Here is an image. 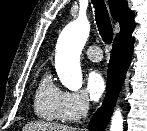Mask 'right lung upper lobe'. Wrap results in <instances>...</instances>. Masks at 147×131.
Listing matches in <instances>:
<instances>
[{
    "instance_id": "obj_1",
    "label": "right lung upper lobe",
    "mask_w": 147,
    "mask_h": 131,
    "mask_svg": "<svg viewBox=\"0 0 147 131\" xmlns=\"http://www.w3.org/2000/svg\"><path fill=\"white\" fill-rule=\"evenodd\" d=\"M111 14L120 22L121 31L115 38L131 33L135 27L134 13L128 9L126 0H109Z\"/></svg>"
}]
</instances>
